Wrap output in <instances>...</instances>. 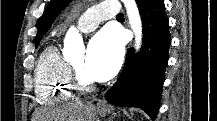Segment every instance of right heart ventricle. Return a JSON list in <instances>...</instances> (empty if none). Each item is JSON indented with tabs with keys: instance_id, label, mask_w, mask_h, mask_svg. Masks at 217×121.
I'll list each match as a JSON object with an SVG mask.
<instances>
[{
	"instance_id": "e07e8e85",
	"label": "right heart ventricle",
	"mask_w": 217,
	"mask_h": 121,
	"mask_svg": "<svg viewBox=\"0 0 217 121\" xmlns=\"http://www.w3.org/2000/svg\"><path fill=\"white\" fill-rule=\"evenodd\" d=\"M35 93L41 104L62 102L73 94L69 81V63L57 45L48 46L37 61Z\"/></svg>"
}]
</instances>
